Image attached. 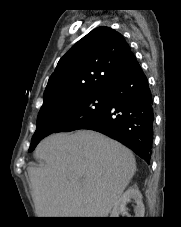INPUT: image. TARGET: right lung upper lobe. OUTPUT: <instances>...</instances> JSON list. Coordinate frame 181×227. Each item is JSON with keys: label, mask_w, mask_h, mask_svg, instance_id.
Wrapping results in <instances>:
<instances>
[{"label": "right lung upper lobe", "mask_w": 181, "mask_h": 227, "mask_svg": "<svg viewBox=\"0 0 181 227\" xmlns=\"http://www.w3.org/2000/svg\"><path fill=\"white\" fill-rule=\"evenodd\" d=\"M134 59L120 33L108 27L92 30L59 60L48 80L41 109L108 90L114 80L129 70Z\"/></svg>", "instance_id": "1"}]
</instances>
